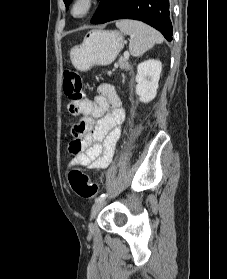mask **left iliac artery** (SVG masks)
Masks as SVG:
<instances>
[{
  "label": "left iliac artery",
  "mask_w": 227,
  "mask_h": 279,
  "mask_svg": "<svg viewBox=\"0 0 227 279\" xmlns=\"http://www.w3.org/2000/svg\"><path fill=\"white\" fill-rule=\"evenodd\" d=\"M107 196H108V194H102L98 198L95 199V202H99V201L105 199Z\"/></svg>",
  "instance_id": "obj_1"
}]
</instances>
